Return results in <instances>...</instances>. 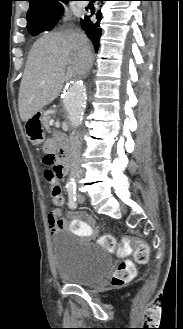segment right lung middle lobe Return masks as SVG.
I'll return each instance as SVG.
<instances>
[{
	"mask_svg": "<svg viewBox=\"0 0 183 329\" xmlns=\"http://www.w3.org/2000/svg\"><path fill=\"white\" fill-rule=\"evenodd\" d=\"M62 13H63V7L60 9L58 16L54 20L31 25L28 28L30 34L36 36L43 31L51 30L56 25L57 21L60 19Z\"/></svg>",
	"mask_w": 183,
	"mask_h": 329,
	"instance_id": "1",
	"label": "right lung middle lobe"
}]
</instances>
